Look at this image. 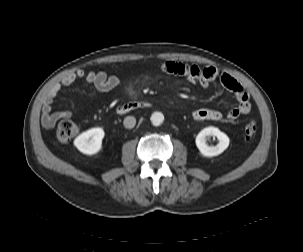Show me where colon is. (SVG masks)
Masks as SVG:
<instances>
[{
	"label": "colon",
	"mask_w": 303,
	"mask_h": 252,
	"mask_svg": "<svg viewBox=\"0 0 303 252\" xmlns=\"http://www.w3.org/2000/svg\"><path fill=\"white\" fill-rule=\"evenodd\" d=\"M257 124L254 121L248 122L244 127V133L248 139L252 138L257 132ZM79 127L71 120L60 122L56 129L57 136L65 141H69L77 136Z\"/></svg>",
	"instance_id": "obj_1"
}]
</instances>
